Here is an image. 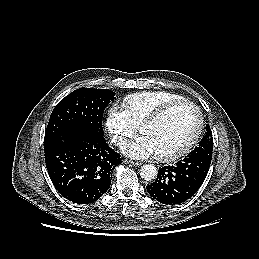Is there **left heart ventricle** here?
I'll return each instance as SVG.
<instances>
[{
	"label": "left heart ventricle",
	"instance_id": "b2bd125f",
	"mask_svg": "<svg viewBox=\"0 0 259 259\" xmlns=\"http://www.w3.org/2000/svg\"><path fill=\"white\" fill-rule=\"evenodd\" d=\"M197 123L195 110L181 105L160 121L142 127L141 134L151 141L156 155H164L180 149L193 136Z\"/></svg>",
	"mask_w": 259,
	"mask_h": 259
}]
</instances>
